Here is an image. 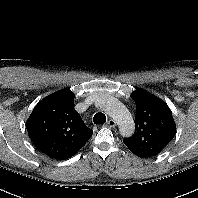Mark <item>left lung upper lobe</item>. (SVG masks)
<instances>
[{
  "label": "left lung upper lobe",
  "mask_w": 198,
  "mask_h": 198,
  "mask_svg": "<svg viewBox=\"0 0 198 198\" xmlns=\"http://www.w3.org/2000/svg\"><path fill=\"white\" fill-rule=\"evenodd\" d=\"M131 98L137 106L135 132L123 142L137 156H155L175 136L171 110L161 99L143 89L132 92Z\"/></svg>",
  "instance_id": "5c2ea615"
}]
</instances>
